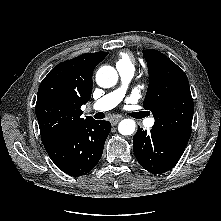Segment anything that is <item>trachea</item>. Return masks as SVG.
<instances>
[{
	"mask_svg": "<svg viewBox=\"0 0 221 221\" xmlns=\"http://www.w3.org/2000/svg\"><path fill=\"white\" fill-rule=\"evenodd\" d=\"M105 117V114L103 112H98L95 114L96 119H103Z\"/></svg>",
	"mask_w": 221,
	"mask_h": 221,
	"instance_id": "3493384b",
	"label": "trachea"
}]
</instances>
